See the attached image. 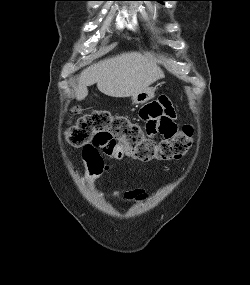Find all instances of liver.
<instances>
[{"label":"liver","instance_id":"obj_1","mask_svg":"<svg viewBox=\"0 0 250 285\" xmlns=\"http://www.w3.org/2000/svg\"><path fill=\"white\" fill-rule=\"evenodd\" d=\"M163 77V71L149 56L139 52L123 53L83 70L75 96L79 101L85 99L87 87L97 83L98 90L107 96L130 97Z\"/></svg>","mask_w":250,"mask_h":285}]
</instances>
